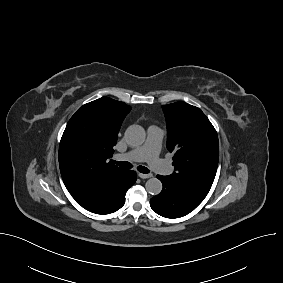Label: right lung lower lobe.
Listing matches in <instances>:
<instances>
[{
    "label": "right lung lower lobe",
    "mask_w": 283,
    "mask_h": 283,
    "mask_svg": "<svg viewBox=\"0 0 283 283\" xmlns=\"http://www.w3.org/2000/svg\"><path fill=\"white\" fill-rule=\"evenodd\" d=\"M135 171L125 170L118 177L105 183L86 201L79 202L88 211L109 214L120 209L125 203L126 191L136 182Z\"/></svg>",
    "instance_id": "right-lung-lower-lobe-1"
}]
</instances>
